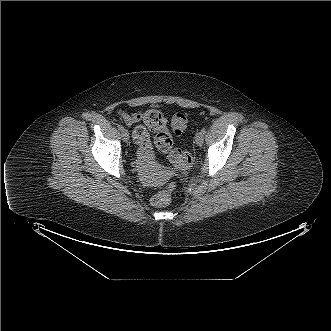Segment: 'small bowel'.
Returning <instances> with one entry per match:
<instances>
[{"label":"small bowel","instance_id":"small-bowel-1","mask_svg":"<svg viewBox=\"0 0 331 331\" xmlns=\"http://www.w3.org/2000/svg\"><path fill=\"white\" fill-rule=\"evenodd\" d=\"M122 118H123L124 122L128 126H130V125L137 124V123H140L141 121H143V112L138 111V112H134V113H123ZM133 139H134L135 144L138 146V156H139L140 161L142 163L150 162L153 158V150H152V146L149 141V138H148V134L146 135V137L141 138L136 134V132L134 130Z\"/></svg>","mask_w":331,"mask_h":331}]
</instances>
